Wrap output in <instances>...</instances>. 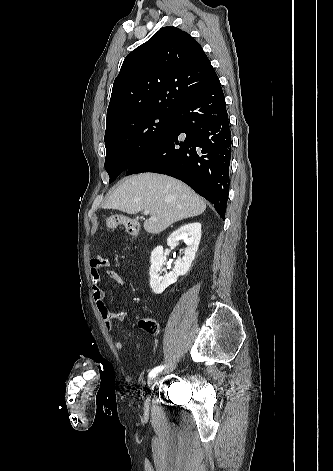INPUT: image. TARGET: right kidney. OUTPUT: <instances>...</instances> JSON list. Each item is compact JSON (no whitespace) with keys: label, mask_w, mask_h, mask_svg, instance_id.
I'll list each match as a JSON object with an SVG mask.
<instances>
[{"label":"right kidney","mask_w":333,"mask_h":471,"mask_svg":"<svg viewBox=\"0 0 333 471\" xmlns=\"http://www.w3.org/2000/svg\"><path fill=\"white\" fill-rule=\"evenodd\" d=\"M181 239H183L187 245L184 256L176 260L172 272H165L163 276L161 275V273L165 271V269H163V247L158 246L152 251L150 286L155 294H161L168 286L175 283L179 276H183L189 271L200 243L201 224L199 222H193L182 226L168 237L167 245L169 247H175Z\"/></svg>","instance_id":"obj_1"}]
</instances>
